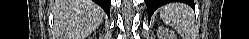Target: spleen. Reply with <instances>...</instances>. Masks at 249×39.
<instances>
[{
    "label": "spleen",
    "mask_w": 249,
    "mask_h": 39,
    "mask_svg": "<svg viewBox=\"0 0 249 39\" xmlns=\"http://www.w3.org/2000/svg\"><path fill=\"white\" fill-rule=\"evenodd\" d=\"M159 12L162 20L171 26L185 21L190 16L188 8L176 4L165 5L160 8Z\"/></svg>",
    "instance_id": "spleen-1"
}]
</instances>
